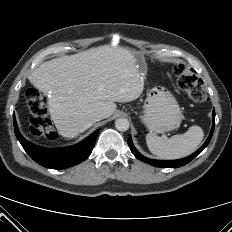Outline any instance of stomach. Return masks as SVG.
<instances>
[{
  "label": "stomach",
  "mask_w": 232,
  "mask_h": 232,
  "mask_svg": "<svg viewBox=\"0 0 232 232\" xmlns=\"http://www.w3.org/2000/svg\"><path fill=\"white\" fill-rule=\"evenodd\" d=\"M144 64V60L139 58ZM183 115L175 97L165 88H153L144 102L141 122L154 133H164L180 126Z\"/></svg>",
  "instance_id": "1"
}]
</instances>
